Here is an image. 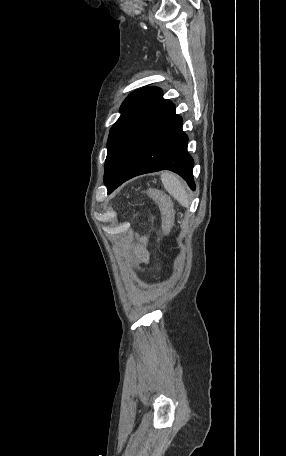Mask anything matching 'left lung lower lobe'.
Segmentation results:
<instances>
[{
	"instance_id": "0a47b994",
	"label": "left lung lower lobe",
	"mask_w": 286,
	"mask_h": 456,
	"mask_svg": "<svg viewBox=\"0 0 286 456\" xmlns=\"http://www.w3.org/2000/svg\"><path fill=\"white\" fill-rule=\"evenodd\" d=\"M182 122L173 103L151 122L126 152L107 187L108 194L132 177L160 170L179 174L195 190L194 161L187 152L188 137Z\"/></svg>"
}]
</instances>
